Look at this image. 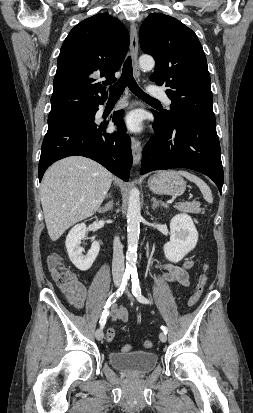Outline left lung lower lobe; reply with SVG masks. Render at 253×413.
<instances>
[{"label": "left lung lower lobe", "instance_id": "left-lung-lower-lobe-1", "mask_svg": "<svg viewBox=\"0 0 253 413\" xmlns=\"http://www.w3.org/2000/svg\"><path fill=\"white\" fill-rule=\"evenodd\" d=\"M153 114L155 134L143 150L141 174L188 168L209 176L222 193L223 169L216 125L196 119L168 125L157 112Z\"/></svg>", "mask_w": 253, "mask_h": 413}]
</instances>
